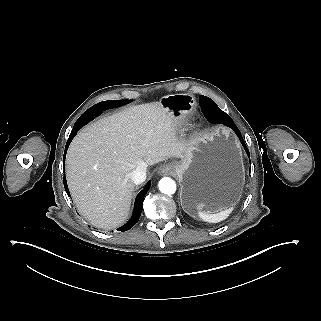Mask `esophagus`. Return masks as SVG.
Returning a JSON list of instances; mask_svg holds the SVG:
<instances>
[{"instance_id":"1","label":"esophagus","mask_w":321,"mask_h":321,"mask_svg":"<svg viewBox=\"0 0 321 321\" xmlns=\"http://www.w3.org/2000/svg\"><path fill=\"white\" fill-rule=\"evenodd\" d=\"M175 172V167L171 164L164 165L160 167L158 170V174L163 175V174H169L172 175Z\"/></svg>"}]
</instances>
